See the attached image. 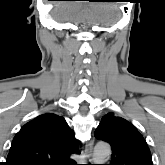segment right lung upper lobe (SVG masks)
Listing matches in <instances>:
<instances>
[{"label":"right lung upper lobe","mask_w":165,"mask_h":165,"mask_svg":"<svg viewBox=\"0 0 165 165\" xmlns=\"http://www.w3.org/2000/svg\"><path fill=\"white\" fill-rule=\"evenodd\" d=\"M78 145L63 117L42 114L15 135L5 165H60L80 153Z\"/></svg>","instance_id":"right-lung-upper-lobe-1"}]
</instances>
